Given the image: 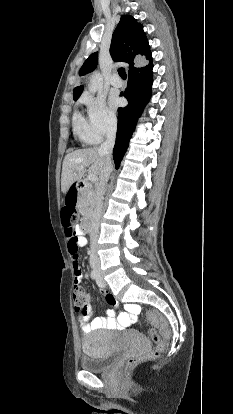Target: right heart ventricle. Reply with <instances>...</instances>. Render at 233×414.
Wrapping results in <instances>:
<instances>
[{
	"label": "right heart ventricle",
	"mask_w": 233,
	"mask_h": 414,
	"mask_svg": "<svg viewBox=\"0 0 233 414\" xmlns=\"http://www.w3.org/2000/svg\"><path fill=\"white\" fill-rule=\"evenodd\" d=\"M73 131L74 134L85 142L88 141L89 127L88 122L80 112H75L73 116ZM90 143V142H89Z\"/></svg>",
	"instance_id": "obj_1"
}]
</instances>
